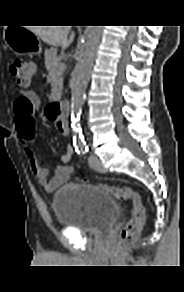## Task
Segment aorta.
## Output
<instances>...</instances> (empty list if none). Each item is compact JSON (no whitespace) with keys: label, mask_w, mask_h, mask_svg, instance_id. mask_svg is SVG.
<instances>
[{"label":"aorta","mask_w":184,"mask_h":292,"mask_svg":"<svg viewBox=\"0 0 184 292\" xmlns=\"http://www.w3.org/2000/svg\"><path fill=\"white\" fill-rule=\"evenodd\" d=\"M102 30L103 26H87L79 46L71 86V120L75 131L80 129L79 118Z\"/></svg>","instance_id":"obj_1"}]
</instances>
